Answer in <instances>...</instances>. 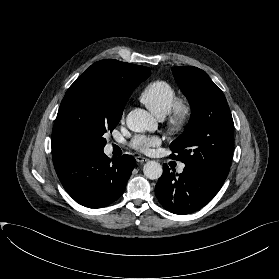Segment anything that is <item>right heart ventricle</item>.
<instances>
[{
    "mask_svg": "<svg viewBox=\"0 0 279 279\" xmlns=\"http://www.w3.org/2000/svg\"><path fill=\"white\" fill-rule=\"evenodd\" d=\"M176 99L175 88L164 80L149 83L141 93L140 100L157 117H165Z\"/></svg>",
    "mask_w": 279,
    "mask_h": 279,
    "instance_id": "1",
    "label": "right heart ventricle"
}]
</instances>
